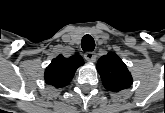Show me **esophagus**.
Masks as SVG:
<instances>
[{
    "label": "esophagus",
    "instance_id": "34e87169",
    "mask_svg": "<svg viewBox=\"0 0 165 113\" xmlns=\"http://www.w3.org/2000/svg\"><path fill=\"white\" fill-rule=\"evenodd\" d=\"M84 56H85V59L87 60H94L95 58L94 52H91V51L86 52Z\"/></svg>",
    "mask_w": 165,
    "mask_h": 113
}]
</instances>
